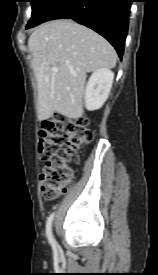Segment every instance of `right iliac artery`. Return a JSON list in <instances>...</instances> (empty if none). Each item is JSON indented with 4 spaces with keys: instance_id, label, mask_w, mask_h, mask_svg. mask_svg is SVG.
<instances>
[{
    "instance_id": "obj_1",
    "label": "right iliac artery",
    "mask_w": 158,
    "mask_h": 275,
    "mask_svg": "<svg viewBox=\"0 0 158 275\" xmlns=\"http://www.w3.org/2000/svg\"><path fill=\"white\" fill-rule=\"evenodd\" d=\"M53 218H54V213H52L47 219V222H46V236L49 240V243L53 247V249H56L57 243H56V241L53 237V234H52V221H53Z\"/></svg>"
}]
</instances>
